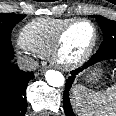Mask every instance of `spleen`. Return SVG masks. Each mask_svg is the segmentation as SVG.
I'll return each mask as SVG.
<instances>
[{
    "label": "spleen",
    "mask_w": 116,
    "mask_h": 116,
    "mask_svg": "<svg viewBox=\"0 0 116 116\" xmlns=\"http://www.w3.org/2000/svg\"><path fill=\"white\" fill-rule=\"evenodd\" d=\"M72 95L73 106L79 116H116V84L105 91L75 86Z\"/></svg>",
    "instance_id": "obj_1"
}]
</instances>
